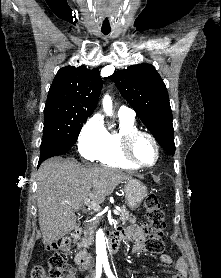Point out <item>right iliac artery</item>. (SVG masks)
<instances>
[{
	"label": "right iliac artery",
	"mask_w": 221,
	"mask_h": 278,
	"mask_svg": "<svg viewBox=\"0 0 221 278\" xmlns=\"http://www.w3.org/2000/svg\"><path fill=\"white\" fill-rule=\"evenodd\" d=\"M101 273H102V265L100 264L96 266V278H100Z\"/></svg>",
	"instance_id": "1"
}]
</instances>
